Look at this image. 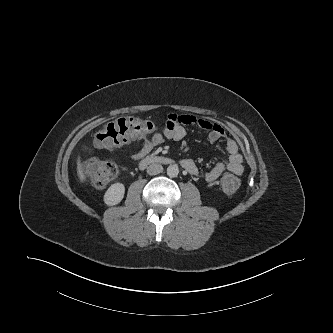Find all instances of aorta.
Returning a JSON list of instances; mask_svg holds the SVG:
<instances>
[{"label": "aorta", "mask_w": 333, "mask_h": 333, "mask_svg": "<svg viewBox=\"0 0 333 333\" xmlns=\"http://www.w3.org/2000/svg\"><path fill=\"white\" fill-rule=\"evenodd\" d=\"M179 174V168L177 165H169L167 168V175L169 177H177Z\"/></svg>", "instance_id": "1"}]
</instances>
